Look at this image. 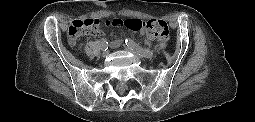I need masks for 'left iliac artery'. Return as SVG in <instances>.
<instances>
[{
  "mask_svg": "<svg viewBox=\"0 0 255 122\" xmlns=\"http://www.w3.org/2000/svg\"><path fill=\"white\" fill-rule=\"evenodd\" d=\"M125 44L132 48L133 50L137 51L140 53L143 57L146 58H152L154 56L153 52L148 50V49H143L140 47L138 44H136L133 40L126 38L125 39Z\"/></svg>",
  "mask_w": 255,
  "mask_h": 122,
  "instance_id": "left-iliac-artery-1",
  "label": "left iliac artery"
}]
</instances>
